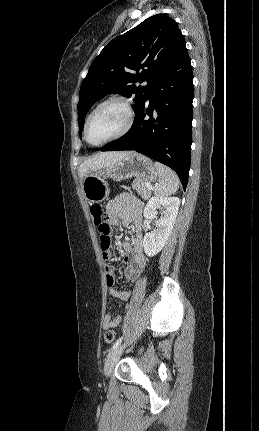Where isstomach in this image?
Masks as SVG:
<instances>
[{
    "instance_id": "stomach-1",
    "label": "stomach",
    "mask_w": 259,
    "mask_h": 431,
    "mask_svg": "<svg viewBox=\"0 0 259 431\" xmlns=\"http://www.w3.org/2000/svg\"><path fill=\"white\" fill-rule=\"evenodd\" d=\"M131 177L151 183L157 180L158 172L151 159L132 152L115 164L87 174L82 180V190L89 202L98 203L110 193L108 178L120 181Z\"/></svg>"
}]
</instances>
